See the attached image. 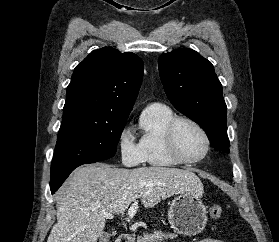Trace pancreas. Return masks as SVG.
<instances>
[{
    "mask_svg": "<svg viewBox=\"0 0 279 242\" xmlns=\"http://www.w3.org/2000/svg\"><path fill=\"white\" fill-rule=\"evenodd\" d=\"M177 237L175 233H163L162 231H154L153 233H146L137 238V242H162L168 239Z\"/></svg>",
    "mask_w": 279,
    "mask_h": 242,
    "instance_id": "1",
    "label": "pancreas"
}]
</instances>
